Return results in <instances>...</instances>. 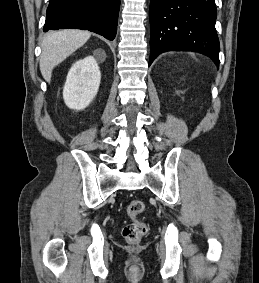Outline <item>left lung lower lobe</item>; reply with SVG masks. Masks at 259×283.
Here are the masks:
<instances>
[{"label": "left lung lower lobe", "mask_w": 259, "mask_h": 283, "mask_svg": "<svg viewBox=\"0 0 259 283\" xmlns=\"http://www.w3.org/2000/svg\"><path fill=\"white\" fill-rule=\"evenodd\" d=\"M149 16V65L168 50L197 51L219 65L215 0H151Z\"/></svg>", "instance_id": "1"}]
</instances>
